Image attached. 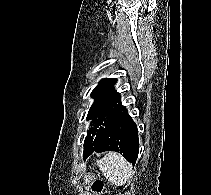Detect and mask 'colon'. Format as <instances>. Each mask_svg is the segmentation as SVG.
I'll list each match as a JSON object with an SVG mask.
<instances>
[{
	"instance_id": "5ec220e1",
	"label": "colon",
	"mask_w": 211,
	"mask_h": 195,
	"mask_svg": "<svg viewBox=\"0 0 211 195\" xmlns=\"http://www.w3.org/2000/svg\"><path fill=\"white\" fill-rule=\"evenodd\" d=\"M92 188L96 193H101L104 189V184L102 181L96 180L94 181Z\"/></svg>"
}]
</instances>
